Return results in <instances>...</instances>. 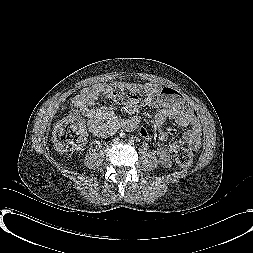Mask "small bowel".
<instances>
[{"label": "small bowel", "instance_id": "c3829d8e", "mask_svg": "<svg viewBox=\"0 0 253 253\" xmlns=\"http://www.w3.org/2000/svg\"><path fill=\"white\" fill-rule=\"evenodd\" d=\"M144 89L150 94V108L153 111L155 127L158 131V144L155 152L159 162L168 167L171 164V156L177 150L187 147L197 150L200 146L201 125L196 110L177 91L169 87H162L155 83H144ZM103 86L95 84L83 89L71 98L72 114L74 117H83L88 129L99 138H106L123 128L134 130L137 128V113L140 107L132 102L125 103L127 117L116 114L113 106H95ZM172 120L181 127H189L182 138L165 144L168 133L164 129L166 121ZM140 135L145 140L150 139V131L147 128L140 129Z\"/></svg>", "mask_w": 253, "mask_h": 253}]
</instances>
